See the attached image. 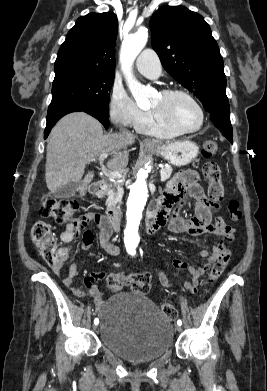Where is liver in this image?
Here are the masks:
<instances>
[{"instance_id":"1","label":"liver","mask_w":267,"mask_h":391,"mask_svg":"<svg viewBox=\"0 0 267 391\" xmlns=\"http://www.w3.org/2000/svg\"><path fill=\"white\" fill-rule=\"evenodd\" d=\"M135 137L121 134H103L102 125L84 112L64 116L52 129L46 148L45 179L48 189L55 193L68 182H79L86 164L101 154H110L107 166L122 172L128 165V146ZM94 174L89 173L82 181L85 193Z\"/></svg>"}]
</instances>
